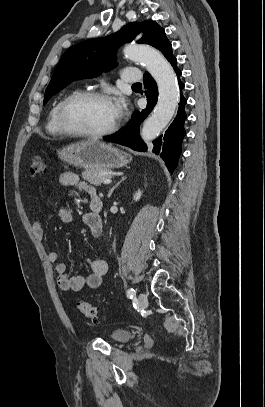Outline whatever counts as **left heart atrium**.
Wrapping results in <instances>:
<instances>
[{
    "instance_id": "39dd6f15",
    "label": "left heart atrium",
    "mask_w": 265,
    "mask_h": 407,
    "mask_svg": "<svg viewBox=\"0 0 265 407\" xmlns=\"http://www.w3.org/2000/svg\"><path fill=\"white\" fill-rule=\"evenodd\" d=\"M112 103V107L114 110V113L116 115V117H120L125 109V104L124 101L122 99H116L115 101L111 102Z\"/></svg>"
}]
</instances>
